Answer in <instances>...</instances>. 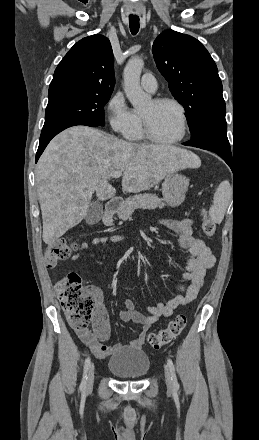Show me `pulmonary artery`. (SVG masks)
Masks as SVG:
<instances>
[{
  "mask_svg": "<svg viewBox=\"0 0 259 440\" xmlns=\"http://www.w3.org/2000/svg\"><path fill=\"white\" fill-rule=\"evenodd\" d=\"M141 86L144 90L154 93L157 90V81L151 73H145L141 78Z\"/></svg>",
  "mask_w": 259,
  "mask_h": 440,
  "instance_id": "obj_1",
  "label": "pulmonary artery"
}]
</instances>
